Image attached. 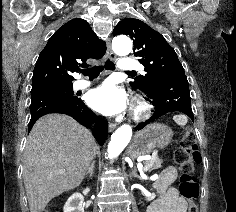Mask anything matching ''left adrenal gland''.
<instances>
[{
    "label": "left adrenal gland",
    "instance_id": "1",
    "mask_svg": "<svg viewBox=\"0 0 236 212\" xmlns=\"http://www.w3.org/2000/svg\"><path fill=\"white\" fill-rule=\"evenodd\" d=\"M130 177H137V178L141 179V177L137 174L135 168L132 170V173L130 174Z\"/></svg>",
    "mask_w": 236,
    "mask_h": 212
}]
</instances>
